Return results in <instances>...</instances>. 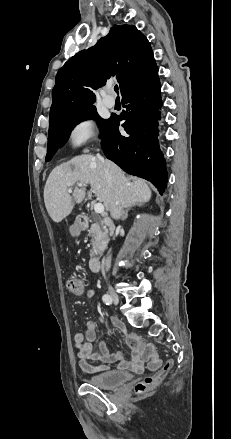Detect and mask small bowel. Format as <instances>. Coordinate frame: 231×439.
I'll use <instances>...</instances> for the list:
<instances>
[{"instance_id":"c3829d8e","label":"small bowel","mask_w":231,"mask_h":439,"mask_svg":"<svg viewBox=\"0 0 231 439\" xmlns=\"http://www.w3.org/2000/svg\"><path fill=\"white\" fill-rule=\"evenodd\" d=\"M94 294V290H89L86 292L87 298L93 297ZM113 322L126 337H129V334L122 323L117 320H113ZM73 339L74 346L78 351L79 368L84 373L103 372L109 368L108 364L110 363L117 364L119 369H130L136 372L143 370L144 359L142 358L139 349H133L130 361H125L122 353L120 352L109 353L103 343L99 344L100 353L94 352L93 345L97 340V326L93 321H88L86 323L84 334L76 333ZM95 360L101 361L102 364L98 366L92 365L91 361Z\"/></svg>"}]
</instances>
